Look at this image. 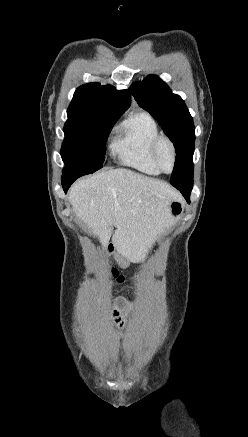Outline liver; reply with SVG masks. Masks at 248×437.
Segmentation results:
<instances>
[{
	"label": "liver",
	"instance_id": "obj_1",
	"mask_svg": "<svg viewBox=\"0 0 248 437\" xmlns=\"http://www.w3.org/2000/svg\"><path fill=\"white\" fill-rule=\"evenodd\" d=\"M178 193L167 183L129 169L102 171L73 184L69 201L76 216L105 248L112 236L119 254L144 260L172 223L170 202Z\"/></svg>",
	"mask_w": 248,
	"mask_h": 437
}]
</instances>
